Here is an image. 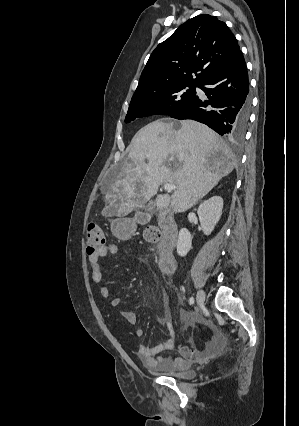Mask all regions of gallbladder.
Returning <instances> with one entry per match:
<instances>
[{"mask_svg":"<svg viewBox=\"0 0 299 426\" xmlns=\"http://www.w3.org/2000/svg\"><path fill=\"white\" fill-rule=\"evenodd\" d=\"M150 208H151L150 204L145 207L146 210H149Z\"/></svg>","mask_w":299,"mask_h":426,"instance_id":"gallbladder-1","label":"gallbladder"}]
</instances>
